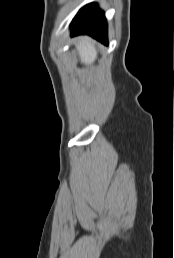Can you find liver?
Masks as SVG:
<instances>
[{"label":"liver","mask_w":174,"mask_h":258,"mask_svg":"<svg viewBox=\"0 0 174 258\" xmlns=\"http://www.w3.org/2000/svg\"><path fill=\"white\" fill-rule=\"evenodd\" d=\"M77 51L82 64L89 66L97 58V51L94 43L89 37H82L77 45Z\"/></svg>","instance_id":"6515ba94"}]
</instances>
